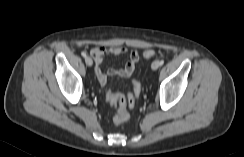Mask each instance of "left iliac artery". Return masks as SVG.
Listing matches in <instances>:
<instances>
[{
	"label": "left iliac artery",
	"instance_id": "obj_1",
	"mask_svg": "<svg viewBox=\"0 0 244 157\" xmlns=\"http://www.w3.org/2000/svg\"><path fill=\"white\" fill-rule=\"evenodd\" d=\"M164 64V60L159 61V66H162Z\"/></svg>",
	"mask_w": 244,
	"mask_h": 157
}]
</instances>
